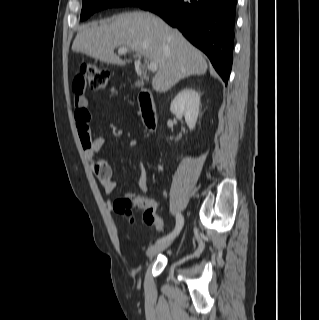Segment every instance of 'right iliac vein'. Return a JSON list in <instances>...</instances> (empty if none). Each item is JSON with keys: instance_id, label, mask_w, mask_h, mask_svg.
I'll list each match as a JSON object with an SVG mask.
<instances>
[{"instance_id": "1", "label": "right iliac vein", "mask_w": 319, "mask_h": 320, "mask_svg": "<svg viewBox=\"0 0 319 320\" xmlns=\"http://www.w3.org/2000/svg\"><path fill=\"white\" fill-rule=\"evenodd\" d=\"M170 243H171L170 241H166V242L157 243L155 245H152L151 247L148 248L147 255L149 257L155 256L156 254L165 250L170 245Z\"/></svg>"}]
</instances>
